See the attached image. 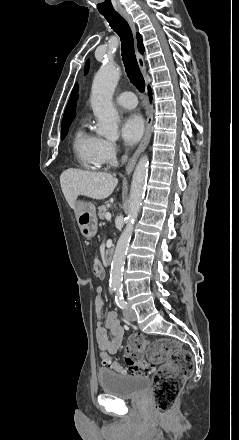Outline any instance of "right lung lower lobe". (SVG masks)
I'll return each instance as SVG.
<instances>
[{"label":"right lung lower lobe","instance_id":"1","mask_svg":"<svg viewBox=\"0 0 239 440\" xmlns=\"http://www.w3.org/2000/svg\"><path fill=\"white\" fill-rule=\"evenodd\" d=\"M149 95L151 96V90H150V87H149Z\"/></svg>","mask_w":239,"mask_h":440}]
</instances>
